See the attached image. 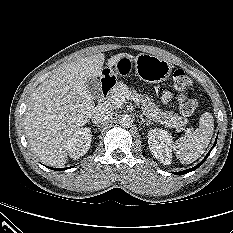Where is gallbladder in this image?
I'll use <instances>...</instances> for the list:
<instances>
[{"label":"gallbladder","mask_w":233,"mask_h":233,"mask_svg":"<svg viewBox=\"0 0 233 233\" xmlns=\"http://www.w3.org/2000/svg\"><path fill=\"white\" fill-rule=\"evenodd\" d=\"M86 85L93 96L98 97L101 94L100 81L95 77L86 80Z\"/></svg>","instance_id":"bac80fb5"}]
</instances>
